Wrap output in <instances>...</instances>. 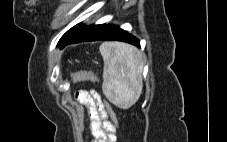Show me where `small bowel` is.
<instances>
[{"instance_id":"1","label":"small bowel","mask_w":227,"mask_h":142,"mask_svg":"<svg viewBox=\"0 0 227 142\" xmlns=\"http://www.w3.org/2000/svg\"><path fill=\"white\" fill-rule=\"evenodd\" d=\"M76 99L89 110L93 142H116L114 126L99 94L95 90H80L76 93Z\"/></svg>"}]
</instances>
